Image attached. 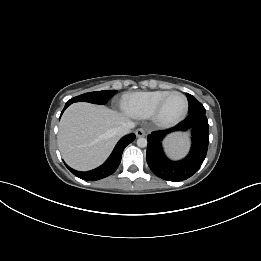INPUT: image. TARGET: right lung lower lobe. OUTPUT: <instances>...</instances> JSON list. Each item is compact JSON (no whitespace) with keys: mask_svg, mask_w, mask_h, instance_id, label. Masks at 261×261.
Here are the masks:
<instances>
[{"mask_svg":"<svg viewBox=\"0 0 261 261\" xmlns=\"http://www.w3.org/2000/svg\"><path fill=\"white\" fill-rule=\"evenodd\" d=\"M68 106H69V104L66 103L63 111ZM63 111H62V113H63ZM134 139H135V134H129V135L123 137L117 143L113 152L111 153L110 157L106 160V162L94 170L87 171V172H80V171H76V170L70 168L66 164L65 165L75 176H77L81 179H84L87 181H96L99 179H103L116 171V169L118 168V166L120 164L124 148L128 144H130Z\"/></svg>","mask_w":261,"mask_h":261,"instance_id":"right-lung-lower-lobe-1","label":"right lung lower lobe"}]
</instances>
